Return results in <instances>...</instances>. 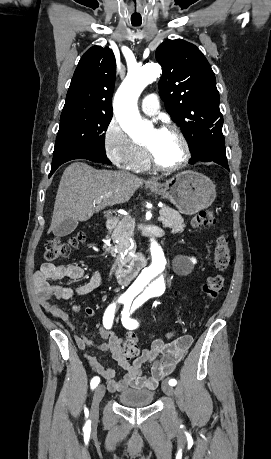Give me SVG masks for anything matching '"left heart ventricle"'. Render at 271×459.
Wrapping results in <instances>:
<instances>
[{"label": "left heart ventricle", "instance_id": "obj_1", "mask_svg": "<svg viewBox=\"0 0 271 459\" xmlns=\"http://www.w3.org/2000/svg\"><path fill=\"white\" fill-rule=\"evenodd\" d=\"M165 162H174L182 155L180 140L171 132L153 128L144 142Z\"/></svg>", "mask_w": 271, "mask_h": 459}]
</instances>
